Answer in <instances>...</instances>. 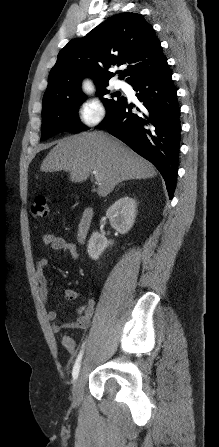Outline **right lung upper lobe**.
I'll return each instance as SVG.
<instances>
[{"label":"right lung upper lobe","instance_id":"1","mask_svg":"<svg viewBox=\"0 0 219 447\" xmlns=\"http://www.w3.org/2000/svg\"><path fill=\"white\" fill-rule=\"evenodd\" d=\"M126 63V73L120 78L130 85L158 73L167 63L153 27L137 13L117 14L62 48L43 98L83 96L80 86L84 77H91L97 88L108 85L115 75L108 69Z\"/></svg>","mask_w":219,"mask_h":447}]
</instances>
